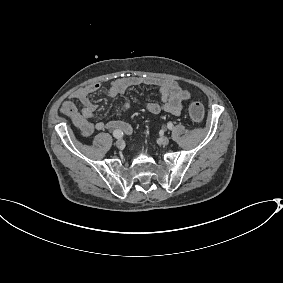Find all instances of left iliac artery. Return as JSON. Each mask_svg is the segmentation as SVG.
<instances>
[{
  "mask_svg": "<svg viewBox=\"0 0 283 283\" xmlns=\"http://www.w3.org/2000/svg\"><path fill=\"white\" fill-rule=\"evenodd\" d=\"M167 127H168V129L172 130V129H173V124H172L171 122H169V123L167 124Z\"/></svg>",
  "mask_w": 283,
  "mask_h": 283,
  "instance_id": "1",
  "label": "left iliac artery"
}]
</instances>
